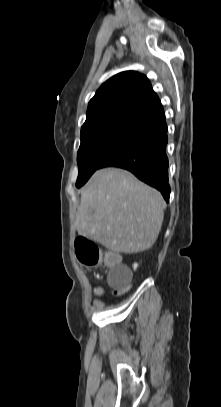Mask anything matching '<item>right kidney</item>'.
Listing matches in <instances>:
<instances>
[{"label":"right kidney","instance_id":"ca27d5eb","mask_svg":"<svg viewBox=\"0 0 221 407\" xmlns=\"http://www.w3.org/2000/svg\"><path fill=\"white\" fill-rule=\"evenodd\" d=\"M137 266H138L137 263H135V264L133 265L134 270L137 268Z\"/></svg>","mask_w":221,"mask_h":407}]
</instances>
